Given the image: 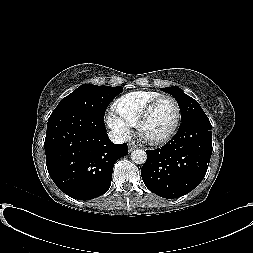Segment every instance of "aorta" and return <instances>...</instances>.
<instances>
[{
    "mask_svg": "<svg viewBox=\"0 0 253 253\" xmlns=\"http://www.w3.org/2000/svg\"><path fill=\"white\" fill-rule=\"evenodd\" d=\"M131 160L136 164H144L147 160V154L142 149H136L131 153Z\"/></svg>",
    "mask_w": 253,
    "mask_h": 253,
    "instance_id": "aorta-1",
    "label": "aorta"
}]
</instances>
